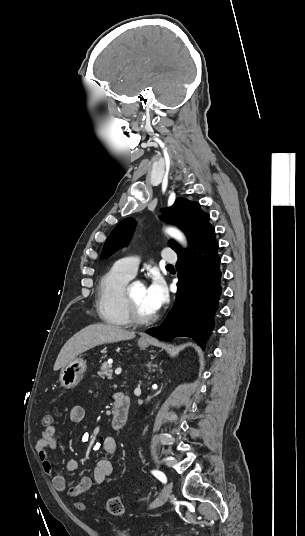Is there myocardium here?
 <instances>
[{"mask_svg":"<svg viewBox=\"0 0 305 536\" xmlns=\"http://www.w3.org/2000/svg\"><path fill=\"white\" fill-rule=\"evenodd\" d=\"M123 302H124V305L126 307V310L130 318L135 322L145 323V322L153 321L158 317L156 313H152L148 315L142 314L132 303L128 288L124 289Z\"/></svg>","mask_w":305,"mask_h":536,"instance_id":"f54148a6","label":"myocardium"}]
</instances>
